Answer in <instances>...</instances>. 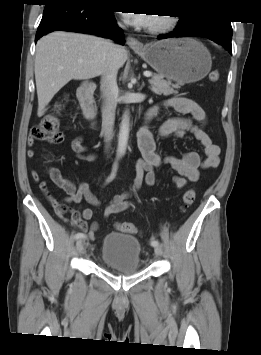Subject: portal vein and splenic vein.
<instances>
[{
    "mask_svg": "<svg viewBox=\"0 0 261 355\" xmlns=\"http://www.w3.org/2000/svg\"><path fill=\"white\" fill-rule=\"evenodd\" d=\"M80 62H82V61L80 60ZM144 76H145V77H151V76H152V73L149 72V71H145V72H144Z\"/></svg>",
    "mask_w": 261,
    "mask_h": 355,
    "instance_id": "obj_1",
    "label": "portal vein and splenic vein"
}]
</instances>
